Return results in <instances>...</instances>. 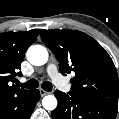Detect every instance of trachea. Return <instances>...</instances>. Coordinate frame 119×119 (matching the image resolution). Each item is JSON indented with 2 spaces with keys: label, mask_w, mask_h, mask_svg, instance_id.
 Returning a JSON list of instances; mask_svg holds the SVG:
<instances>
[{
  "label": "trachea",
  "mask_w": 119,
  "mask_h": 119,
  "mask_svg": "<svg viewBox=\"0 0 119 119\" xmlns=\"http://www.w3.org/2000/svg\"><path fill=\"white\" fill-rule=\"evenodd\" d=\"M17 85L26 89H35L38 87V81L36 79H31L26 83L17 82ZM42 89L50 92L52 90V84L49 81H45L42 83Z\"/></svg>",
  "instance_id": "1"
}]
</instances>
